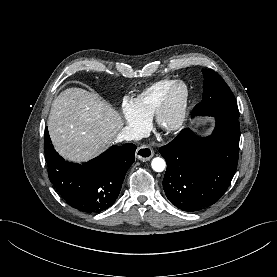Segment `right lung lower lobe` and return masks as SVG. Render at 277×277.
I'll list each match as a JSON object with an SVG mask.
<instances>
[{
	"label": "right lung lower lobe",
	"instance_id": "98d812e1",
	"mask_svg": "<svg viewBox=\"0 0 277 277\" xmlns=\"http://www.w3.org/2000/svg\"><path fill=\"white\" fill-rule=\"evenodd\" d=\"M44 141L49 178L69 205L85 213H100L115 202L134 162V144L114 145L80 165L65 161L54 150L47 129Z\"/></svg>",
	"mask_w": 277,
	"mask_h": 277
}]
</instances>
